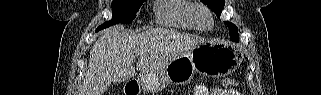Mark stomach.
Instances as JSON below:
<instances>
[{
	"label": "stomach",
	"mask_w": 321,
	"mask_h": 95,
	"mask_svg": "<svg viewBox=\"0 0 321 95\" xmlns=\"http://www.w3.org/2000/svg\"><path fill=\"white\" fill-rule=\"evenodd\" d=\"M238 62V55L230 45L206 40L159 70L141 74L136 84L145 92L159 91L168 84H185L196 73L210 77L226 76L236 68Z\"/></svg>",
	"instance_id": "obj_1"
}]
</instances>
